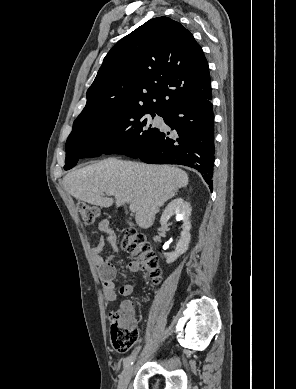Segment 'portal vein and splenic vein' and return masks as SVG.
<instances>
[{
	"instance_id": "obj_1",
	"label": "portal vein and splenic vein",
	"mask_w": 296,
	"mask_h": 389,
	"mask_svg": "<svg viewBox=\"0 0 296 389\" xmlns=\"http://www.w3.org/2000/svg\"><path fill=\"white\" fill-rule=\"evenodd\" d=\"M129 209H130V211L133 212V213L136 212V207H135L134 205H130V206H129Z\"/></svg>"
}]
</instances>
